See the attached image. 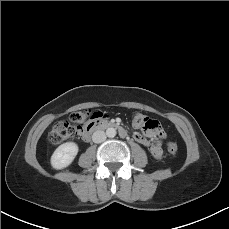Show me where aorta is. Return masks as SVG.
<instances>
[{
  "label": "aorta",
  "mask_w": 229,
  "mask_h": 229,
  "mask_svg": "<svg viewBox=\"0 0 229 229\" xmlns=\"http://www.w3.org/2000/svg\"><path fill=\"white\" fill-rule=\"evenodd\" d=\"M116 129L115 128H112V127H110V128H108L107 130H106V135L109 137V138H113V137H115L116 136Z\"/></svg>",
  "instance_id": "762f6f07"
}]
</instances>
